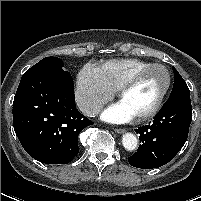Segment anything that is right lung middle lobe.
Instances as JSON below:
<instances>
[{"label":"right lung middle lobe","instance_id":"right-lung-middle-lobe-1","mask_svg":"<svg viewBox=\"0 0 201 201\" xmlns=\"http://www.w3.org/2000/svg\"><path fill=\"white\" fill-rule=\"evenodd\" d=\"M62 60L57 57H46L39 61L37 64L28 69L22 76L42 73L49 76H56L63 78L67 81L73 82L69 72L64 71Z\"/></svg>","mask_w":201,"mask_h":201}]
</instances>
